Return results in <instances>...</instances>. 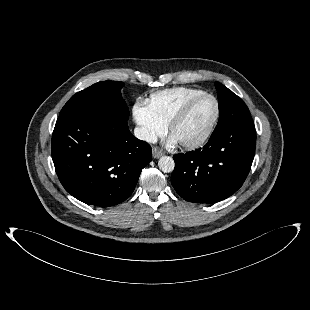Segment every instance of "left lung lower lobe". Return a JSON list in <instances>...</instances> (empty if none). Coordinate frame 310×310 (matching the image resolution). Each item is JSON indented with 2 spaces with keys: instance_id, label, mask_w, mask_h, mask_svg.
I'll return each instance as SVG.
<instances>
[{
  "instance_id": "obj_1",
  "label": "left lung lower lobe",
  "mask_w": 310,
  "mask_h": 310,
  "mask_svg": "<svg viewBox=\"0 0 310 310\" xmlns=\"http://www.w3.org/2000/svg\"><path fill=\"white\" fill-rule=\"evenodd\" d=\"M255 144L251 116L213 132L203 148L173 156L174 189L183 199L195 203H215L228 198L245 181Z\"/></svg>"
}]
</instances>
